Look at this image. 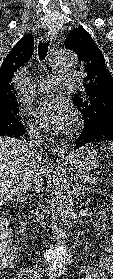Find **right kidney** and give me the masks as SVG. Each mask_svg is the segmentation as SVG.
Returning a JSON list of instances; mask_svg holds the SVG:
<instances>
[{"mask_svg": "<svg viewBox=\"0 0 113 279\" xmlns=\"http://www.w3.org/2000/svg\"><path fill=\"white\" fill-rule=\"evenodd\" d=\"M26 230H27L26 225L24 223H21V226L19 227V233H21V234H23V236H25Z\"/></svg>", "mask_w": 113, "mask_h": 279, "instance_id": "ca27d5eb", "label": "right kidney"}]
</instances>
